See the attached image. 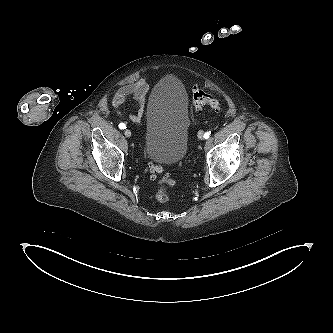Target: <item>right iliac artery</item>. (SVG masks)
<instances>
[{
  "label": "right iliac artery",
  "instance_id": "1",
  "mask_svg": "<svg viewBox=\"0 0 333 333\" xmlns=\"http://www.w3.org/2000/svg\"><path fill=\"white\" fill-rule=\"evenodd\" d=\"M119 128H120L121 130L126 129V124H125V123H120V124H119Z\"/></svg>",
  "mask_w": 333,
  "mask_h": 333
}]
</instances>
